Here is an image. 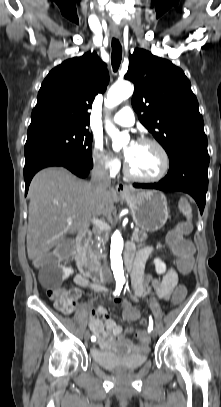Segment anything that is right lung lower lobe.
<instances>
[{
  "label": "right lung lower lobe",
  "instance_id": "1",
  "mask_svg": "<svg viewBox=\"0 0 221 407\" xmlns=\"http://www.w3.org/2000/svg\"><path fill=\"white\" fill-rule=\"evenodd\" d=\"M50 166H62L69 169L79 177H86L89 174L92 165H85L76 161L69 155L56 150H39L25 157L24 180L26 184L25 195L28 192L31 179L39 170Z\"/></svg>",
  "mask_w": 221,
  "mask_h": 407
}]
</instances>
